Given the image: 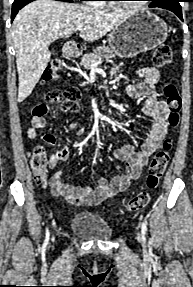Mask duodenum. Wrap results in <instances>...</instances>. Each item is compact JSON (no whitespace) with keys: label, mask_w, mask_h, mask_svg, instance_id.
Listing matches in <instances>:
<instances>
[{"label":"duodenum","mask_w":193,"mask_h":287,"mask_svg":"<svg viewBox=\"0 0 193 287\" xmlns=\"http://www.w3.org/2000/svg\"><path fill=\"white\" fill-rule=\"evenodd\" d=\"M63 54L66 59L74 60L80 54V46L77 43L73 42L67 43L63 47Z\"/></svg>","instance_id":"obj_1"}]
</instances>
